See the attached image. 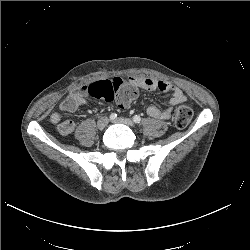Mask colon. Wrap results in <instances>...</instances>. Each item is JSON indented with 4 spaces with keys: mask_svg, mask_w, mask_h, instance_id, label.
Segmentation results:
<instances>
[{
    "mask_svg": "<svg viewBox=\"0 0 250 250\" xmlns=\"http://www.w3.org/2000/svg\"><path fill=\"white\" fill-rule=\"evenodd\" d=\"M88 94L99 100L113 101L116 99L121 108L127 107L134 99L133 89H120L113 80H100L88 86ZM193 117V110L187 105L179 106L174 114V124L178 129L188 126Z\"/></svg>",
    "mask_w": 250,
    "mask_h": 250,
    "instance_id": "obj_1",
    "label": "colon"
}]
</instances>
